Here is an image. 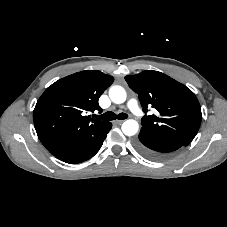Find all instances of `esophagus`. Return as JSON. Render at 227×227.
<instances>
[{
	"mask_svg": "<svg viewBox=\"0 0 227 227\" xmlns=\"http://www.w3.org/2000/svg\"><path fill=\"white\" fill-rule=\"evenodd\" d=\"M123 122H124V120H115V121H114V123H115V124H118V125L122 124Z\"/></svg>",
	"mask_w": 227,
	"mask_h": 227,
	"instance_id": "34e87169",
	"label": "esophagus"
}]
</instances>
